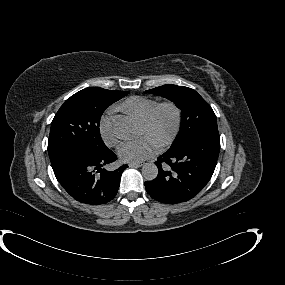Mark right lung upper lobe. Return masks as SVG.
<instances>
[{
    "instance_id": "right-lung-upper-lobe-1",
    "label": "right lung upper lobe",
    "mask_w": 285,
    "mask_h": 285,
    "mask_svg": "<svg viewBox=\"0 0 285 285\" xmlns=\"http://www.w3.org/2000/svg\"><path fill=\"white\" fill-rule=\"evenodd\" d=\"M93 88H99V87H93ZM100 89H102V88H100ZM108 91H110V90H108ZM111 92H113L115 94H120V95H127L129 93L128 91H111Z\"/></svg>"
}]
</instances>
